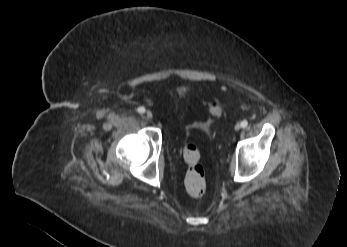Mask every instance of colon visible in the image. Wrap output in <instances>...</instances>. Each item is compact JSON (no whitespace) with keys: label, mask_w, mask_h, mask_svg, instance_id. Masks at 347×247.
I'll return each instance as SVG.
<instances>
[{"label":"colon","mask_w":347,"mask_h":247,"mask_svg":"<svg viewBox=\"0 0 347 247\" xmlns=\"http://www.w3.org/2000/svg\"><path fill=\"white\" fill-rule=\"evenodd\" d=\"M209 110L215 116L222 113V107L218 102H211ZM183 156L187 164V173L184 180L186 192L193 198H199L203 196L206 190L205 173L200 161V152L194 144L188 143L184 147Z\"/></svg>","instance_id":"colon-1"}]
</instances>
